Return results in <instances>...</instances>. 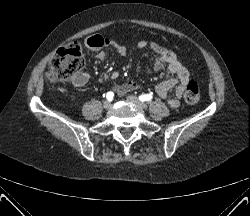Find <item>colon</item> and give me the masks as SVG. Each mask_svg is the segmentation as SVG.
Returning a JSON list of instances; mask_svg holds the SVG:
<instances>
[{
    "label": "colon",
    "instance_id": "5ec220e1",
    "mask_svg": "<svg viewBox=\"0 0 250 216\" xmlns=\"http://www.w3.org/2000/svg\"><path fill=\"white\" fill-rule=\"evenodd\" d=\"M84 67V58L79 46L69 45L60 48L50 61L47 76L51 82H62L70 79ZM184 99L195 104L200 99L198 84L190 80L185 88Z\"/></svg>",
    "mask_w": 250,
    "mask_h": 216
}]
</instances>
